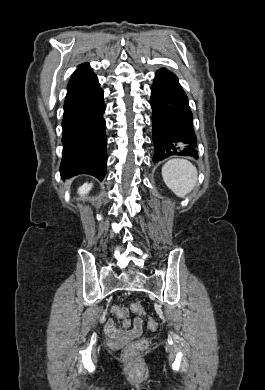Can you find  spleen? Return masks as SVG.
<instances>
[{
	"mask_svg": "<svg viewBox=\"0 0 265 390\" xmlns=\"http://www.w3.org/2000/svg\"><path fill=\"white\" fill-rule=\"evenodd\" d=\"M162 177L167 187L178 197L191 192L197 181L196 167L185 159H172L162 167Z\"/></svg>",
	"mask_w": 265,
	"mask_h": 390,
	"instance_id": "1",
	"label": "spleen"
}]
</instances>
